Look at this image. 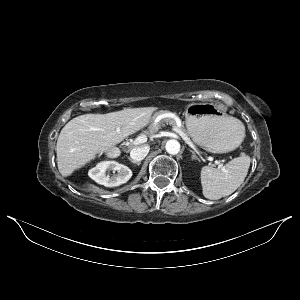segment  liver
<instances>
[{
    "mask_svg": "<svg viewBox=\"0 0 300 300\" xmlns=\"http://www.w3.org/2000/svg\"><path fill=\"white\" fill-rule=\"evenodd\" d=\"M154 108H131L107 114H84L70 120L61 130L57 145V165L62 176H70L109 151L127 136L146 127Z\"/></svg>",
    "mask_w": 300,
    "mask_h": 300,
    "instance_id": "6515ba94",
    "label": "liver"
}]
</instances>
